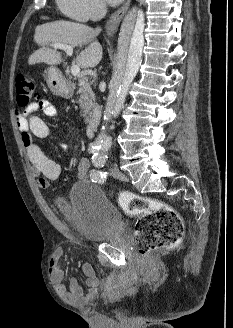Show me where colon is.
<instances>
[{
  "instance_id": "5ec220e1",
  "label": "colon",
  "mask_w": 233,
  "mask_h": 328,
  "mask_svg": "<svg viewBox=\"0 0 233 328\" xmlns=\"http://www.w3.org/2000/svg\"><path fill=\"white\" fill-rule=\"evenodd\" d=\"M15 91L18 105L27 106L34 96V81L24 74H18ZM119 204L126 214L137 218L134 237L141 256L172 247L182 239L183 220L170 206L131 193L121 194Z\"/></svg>"
}]
</instances>
